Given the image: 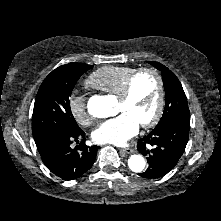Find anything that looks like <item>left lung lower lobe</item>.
<instances>
[{"label": "left lung lower lobe", "mask_w": 221, "mask_h": 221, "mask_svg": "<svg viewBox=\"0 0 221 221\" xmlns=\"http://www.w3.org/2000/svg\"><path fill=\"white\" fill-rule=\"evenodd\" d=\"M189 129L190 116L178 117L139 139L137 149L147 157L149 164L147 170L139 175L156 179L171 171L186 148Z\"/></svg>", "instance_id": "0a47b994"}]
</instances>
